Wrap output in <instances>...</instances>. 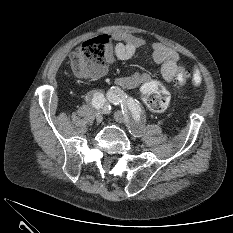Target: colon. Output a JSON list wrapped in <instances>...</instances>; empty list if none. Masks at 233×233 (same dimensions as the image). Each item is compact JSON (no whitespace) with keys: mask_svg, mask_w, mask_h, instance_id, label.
I'll use <instances>...</instances> for the list:
<instances>
[{"mask_svg":"<svg viewBox=\"0 0 233 233\" xmlns=\"http://www.w3.org/2000/svg\"><path fill=\"white\" fill-rule=\"evenodd\" d=\"M109 43L107 36H98L84 41L72 54V67L79 76L99 75L105 66L106 51ZM190 80L195 86L202 84V75L197 67L191 71L180 68L174 78L177 86ZM142 99L152 112L165 111L170 97L164 86L157 81H148L141 88Z\"/></svg>","mask_w":233,"mask_h":233,"instance_id":"obj_1","label":"colon"}]
</instances>
